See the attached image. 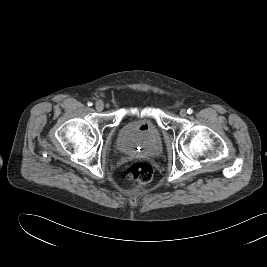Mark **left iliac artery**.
<instances>
[{
    "instance_id": "1",
    "label": "left iliac artery",
    "mask_w": 267,
    "mask_h": 267,
    "mask_svg": "<svg viewBox=\"0 0 267 267\" xmlns=\"http://www.w3.org/2000/svg\"><path fill=\"white\" fill-rule=\"evenodd\" d=\"M187 113H188V114H192V113H193V109L189 108V109L187 110Z\"/></svg>"
}]
</instances>
